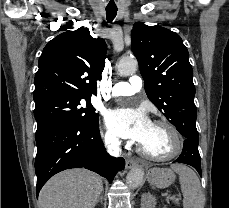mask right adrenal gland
I'll list each match as a JSON object with an SVG mask.
<instances>
[{
    "mask_svg": "<svg viewBox=\"0 0 229 208\" xmlns=\"http://www.w3.org/2000/svg\"><path fill=\"white\" fill-rule=\"evenodd\" d=\"M103 194H104V192H102L101 196H99L96 204H98V202H103Z\"/></svg>",
    "mask_w": 229,
    "mask_h": 208,
    "instance_id": "2a0ac1e0",
    "label": "right adrenal gland"
}]
</instances>
